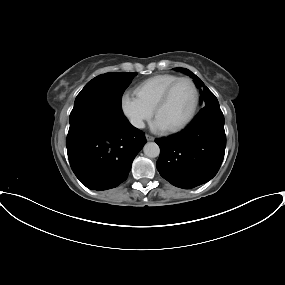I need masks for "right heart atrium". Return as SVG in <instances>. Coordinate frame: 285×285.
Masks as SVG:
<instances>
[{
    "label": "right heart atrium",
    "instance_id": "right-heart-atrium-1",
    "mask_svg": "<svg viewBox=\"0 0 285 285\" xmlns=\"http://www.w3.org/2000/svg\"><path fill=\"white\" fill-rule=\"evenodd\" d=\"M120 109L128 122L137 129L144 127L154 111L143 103L135 94L125 91L120 97Z\"/></svg>",
    "mask_w": 285,
    "mask_h": 285
}]
</instances>
